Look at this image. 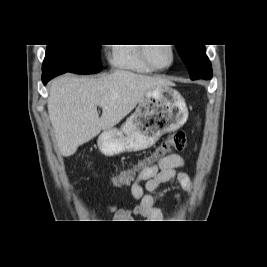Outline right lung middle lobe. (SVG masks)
<instances>
[{"label": "right lung middle lobe", "instance_id": "right-lung-middle-lobe-1", "mask_svg": "<svg viewBox=\"0 0 267 267\" xmlns=\"http://www.w3.org/2000/svg\"><path fill=\"white\" fill-rule=\"evenodd\" d=\"M101 69L100 45H47L43 71L94 74Z\"/></svg>", "mask_w": 267, "mask_h": 267}]
</instances>
